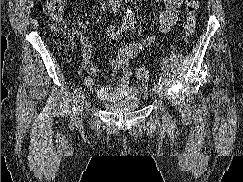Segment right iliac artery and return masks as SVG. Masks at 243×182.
Masks as SVG:
<instances>
[{
    "mask_svg": "<svg viewBox=\"0 0 243 182\" xmlns=\"http://www.w3.org/2000/svg\"><path fill=\"white\" fill-rule=\"evenodd\" d=\"M129 28V24L128 23H123L121 24V26L118 28L117 30V35L123 33L125 30H127ZM81 96V89L79 88V86H76L74 89V96H73V107L72 110L70 111V128H73L74 125L76 124V107L75 104H77L79 97Z\"/></svg>",
    "mask_w": 243,
    "mask_h": 182,
    "instance_id": "obj_1",
    "label": "right iliac artery"
}]
</instances>
